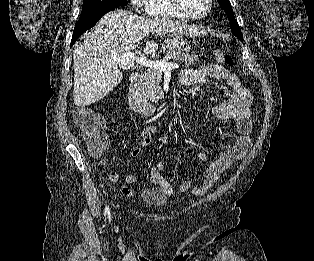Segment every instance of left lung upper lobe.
<instances>
[{
  "label": "left lung upper lobe",
  "mask_w": 314,
  "mask_h": 261,
  "mask_svg": "<svg viewBox=\"0 0 314 261\" xmlns=\"http://www.w3.org/2000/svg\"><path fill=\"white\" fill-rule=\"evenodd\" d=\"M218 3L220 4V6L224 9V11L226 12L228 19L230 20V28L232 33L240 40L243 41V35L241 32V29L238 25V23L236 22L234 15H233V10L231 7V4L229 2V0H217Z\"/></svg>",
  "instance_id": "left-lung-upper-lobe-1"
}]
</instances>
